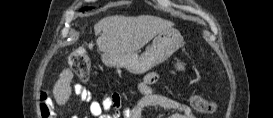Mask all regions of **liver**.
Segmentation results:
<instances>
[{
    "mask_svg": "<svg viewBox=\"0 0 273 118\" xmlns=\"http://www.w3.org/2000/svg\"><path fill=\"white\" fill-rule=\"evenodd\" d=\"M171 21L151 15L137 17L114 15L101 19L95 33L102 32L96 43L101 52L107 54L132 53L144 47L158 33L172 28ZM71 70H64L55 83L53 95L58 105H64L71 95Z\"/></svg>",
    "mask_w": 273,
    "mask_h": 118,
    "instance_id": "liver-1",
    "label": "liver"
}]
</instances>
